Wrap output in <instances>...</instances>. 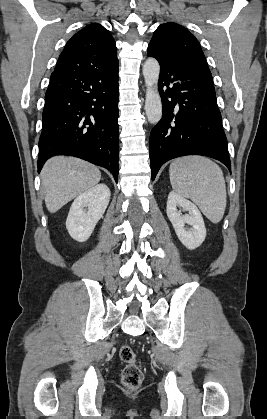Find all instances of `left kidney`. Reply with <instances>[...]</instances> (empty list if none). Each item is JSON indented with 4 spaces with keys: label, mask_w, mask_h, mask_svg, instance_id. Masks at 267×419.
I'll list each match as a JSON object with an SVG mask.
<instances>
[{
    "label": "left kidney",
    "mask_w": 267,
    "mask_h": 419,
    "mask_svg": "<svg viewBox=\"0 0 267 419\" xmlns=\"http://www.w3.org/2000/svg\"><path fill=\"white\" fill-rule=\"evenodd\" d=\"M177 206L189 214L182 215ZM166 211L176 235L186 248L193 250L203 243L206 238V228L201 212L195 204L175 192H170ZM185 224L191 228L186 229Z\"/></svg>",
    "instance_id": "1"
}]
</instances>
